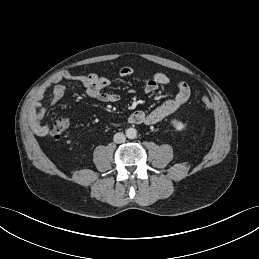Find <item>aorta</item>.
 Returning <instances> with one entry per match:
<instances>
[{"mask_svg":"<svg viewBox=\"0 0 259 259\" xmlns=\"http://www.w3.org/2000/svg\"><path fill=\"white\" fill-rule=\"evenodd\" d=\"M126 136L129 139H134L137 136V130L134 128H128L126 130Z\"/></svg>","mask_w":259,"mask_h":259,"instance_id":"1","label":"aorta"}]
</instances>
